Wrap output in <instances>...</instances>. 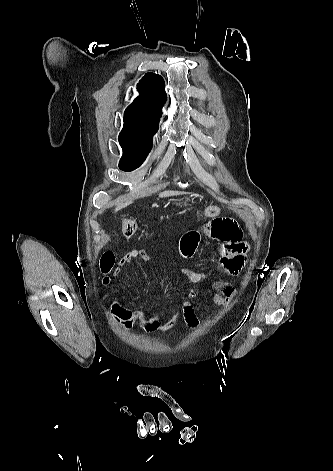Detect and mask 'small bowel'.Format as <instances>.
<instances>
[{
	"label": "small bowel",
	"mask_w": 333,
	"mask_h": 471,
	"mask_svg": "<svg viewBox=\"0 0 333 471\" xmlns=\"http://www.w3.org/2000/svg\"><path fill=\"white\" fill-rule=\"evenodd\" d=\"M210 218L211 220L203 228L191 231L182 237L180 242L181 252L185 257L193 256L203 236L217 240L221 253L219 270L226 276L238 275L247 264L249 252V245L242 238L240 225L232 217L217 216ZM136 258L148 261L149 255L142 249L128 251L120 258L114 276H119L121 268ZM181 272L191 285L206 282L210 278V274L205 271L184 268ZM211 286L214 292L210 300L214 304L227 306L231 303L236 294V289L232 283L218 279L214 280ZM196 297V291L191 289L189 292L190 301L195 300ZM107 298L110 301L113 319L123 329H130L137 323L141 329L148 333L167 332L174 328L180 320H183L193 329L200 326V320L190 301L184 303L169 319L163 321L157 314L146 316L140 310H131L125 307L111 294L107 295Z\"/></svg>",
	"instance_id": "1"
}]
</instances>
